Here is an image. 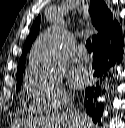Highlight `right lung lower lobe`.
Masks as SVG:
<instances>
[{
    "instance_id": "obj_1",
    "label": "right lung lower lobe",
    "mask_w": 125,
    "mask_h": 128,
    "mask_svg": "<svg viewBox=\"0 0 125 128\" xmlns=\"http://www.w3.org/2000/svg\"><path fill=\"white\" fill-rule=\"evenodd\" d=\"M122 29L117 23L110 30L105 32L94 42V60L92 68L94 76L97 78L95 86L85 89L86 113L92 117L94 122H99L104 110L103 105L95 104V98L100 93L99 83L104 80L109 68L117 62H121L123 57V43L124 40L121 36Z\"/></svg>"
}]
</instances>
